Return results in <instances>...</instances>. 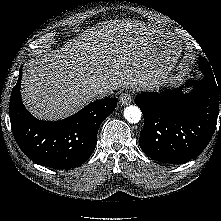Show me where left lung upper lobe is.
Returning a JSON list of instances; mask_svg holds the SVG:
<instances>
[{
	"mask_svg": "<svg viewBox=\"0 0 221 221\" xmlns=\"http://www.w3.org/2000/svg\"><path fill=\"white\" fill-rule=\"evenodd\" d=\"M199 69L203 72L205 76L214 77L208 61L203 57H199Z\"/></svg>",
	"mask_w": 221,
	"mask_h": 221,
	"instance_id": "obj_1",
	"label": "left lung upper lobe"
}]
</instances>
